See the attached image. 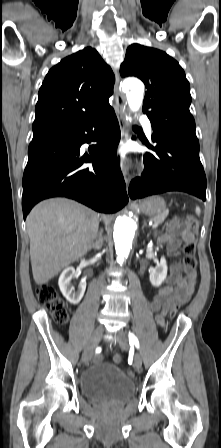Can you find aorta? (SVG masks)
<instances>
[{
  "label": "aorta",
  "mask_w": 221,
  "mask_h": 448,
  "mask_svg": "<svg viewBox=\"0 0 221 448\" xmlns=\"http://www.w3.org/2000/svg\"><path fill=\"white\" fill-rule=\"evenodd\" d=\"M122 89L126 93L130 109L134 112L138 111L144 97L143 83L137 79H126L123 82ZM136 229V222L131 217L122 216L116 219L113 238L117 261L120 265L123 264L130 253Z\"/></svg>",
  "instance_id": "aorta-1"
}]
</instances>
